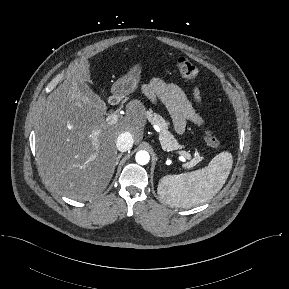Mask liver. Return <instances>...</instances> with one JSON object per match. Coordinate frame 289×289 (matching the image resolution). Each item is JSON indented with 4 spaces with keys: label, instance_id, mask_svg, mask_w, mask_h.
Segmentation results:
<instances>
[{
    "label": "liver",
    "instance_id": "6515ba94",
    "mask_svg": "<svg viewBox=\"0 0 289 289\" xmlns=\"http://www.w3.org/2000/svg\"><path fill=\"white\" fill-rule=\"evenodd\" d=\"M90 76L88 60L79 61L48 96L36 123L39 172L58 193L74 200H89L106 189L118 164V136L129 132L139 143L146 125L138 100L127 104L116 124H108L92 101L93 91L79 87L89 89Z\"/></svg>",
    "mask_w": 289,
    "mask_h": 289
}]
</instances>
